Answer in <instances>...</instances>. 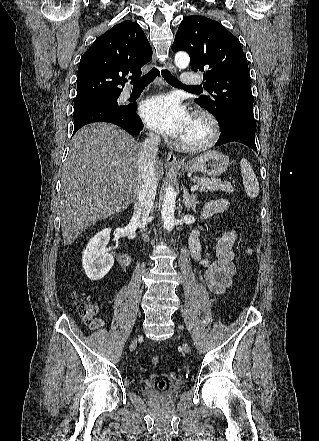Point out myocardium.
Wrapping results in <instances>:
<instances>
[{"label":"myocardium","mask_w":319,"mask_h":441,"mask_svg":"<svg viewBox=\"0 0 319 441\" xmlns=\"http://www.w3.org/2000/svg\"><path fill=\"white\" fill-rule=\"evenodd\" d=\"M192 120L204 124L206 136L197 141L179 139L177 146L187 152H199L211 147L220 136V126L217 119L208 111L198 110L193 114Z\"/></svg>","instance_id":"f54148a6"}]
</instances>
